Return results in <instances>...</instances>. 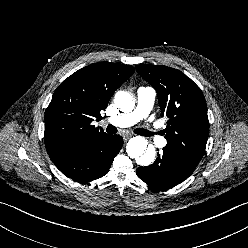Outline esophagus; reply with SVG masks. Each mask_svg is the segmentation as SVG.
I'll return each mask as SVG.
<instances>
[{"label":"esophagus","mask_w":248,"mask_h":248,"mask_svg":"<svg viewBox=\"0 0 248 248\" xmlns=\"http://www.w3.org/2000/svg\"><path fill=\"white\" fill-rule=\"evenodd\" d=\"M130 137H132V134L127 133L123 135L124 141H127Z\"/></svg>","instance_id":"34e87169"}]
</instances>
